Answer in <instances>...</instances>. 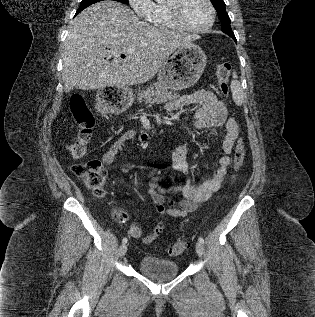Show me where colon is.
Returning a JSON list of instances; mask_svg holds the SVG:
<instances>
[{
	"instance_id": "obj_1",
	"label": "colon",
	"mask_w": 315,
	"mask_h": 317,
	"mask_svg": "<svg viewBox=\"0 0 315 317\" xmlns=\"http://www.w3.org/2000/svg\"><path fill=\"white\" fill-rule=\"evenodd\" d=\"M231 66L228 63H220L216 66L215 74L218 88L224 97L229 93ZM110 95L98 96L100 107L104 108L102 103L103 97ZM71 113L76 123L77 132L74 139L68 145L70 154L75 158H81L86 155L88 143L91 139L94 118L81 96H74L70 102ZM245 159V147L242 139H239L235 148L233 158V170L239 172ZM73 172L85 183V185L97 196L105 193L106 187V170L99 160H89L86 162L76 163L72 166ZM234 178L236 175L234 174ZM113 216L120 223L125 222L127 215L122 209H115ZM186 240H179L168 249L170 256H178L187 248Z\"/></svg>"
}]
</instances>
